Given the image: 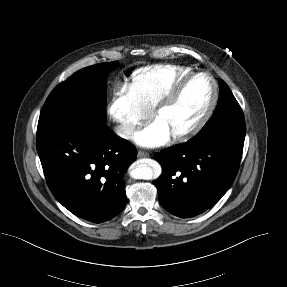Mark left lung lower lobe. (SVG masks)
Masks as SVG:
<instances>
[{
  "mask_svg": "<svg viewBox=\"0 0 287 287\" xmlns=\"http://www.w3.org/2000/svg\"><path fill=\"white\" fill-rule=\"evenodd\" d=\"M242 151L240 145L191 138L155 154L162 165V174L156 181L162 207L180 218L194 217L212 208L234 182Z\"/></svg>",
  "mask_w": 287,
  "mask_h": 287,
  "instance_id": "1",
  "label": "left lung lower lobe"
}]
</instances>
